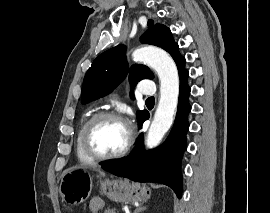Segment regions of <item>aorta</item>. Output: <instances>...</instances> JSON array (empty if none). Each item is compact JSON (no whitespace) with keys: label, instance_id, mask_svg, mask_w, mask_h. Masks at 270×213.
<instances>
[{"label":"aorta","instance_id":"obj_1","mask_svg":"<svg viewBox=\"0 0 270 213\" xmlns=\"http://www.w3.org/2000/svg\"><path fill=\"white\" fill-rule=\"evenodd\" d=\"M133 60L144 62L153 68L160 80V99L154 119L146 137V146H157L170 129L179 96V75L175 62L164 50L142 47L132 54Z\"/></svg>","mask_w":270,"mask_h":213}]
</instances>
